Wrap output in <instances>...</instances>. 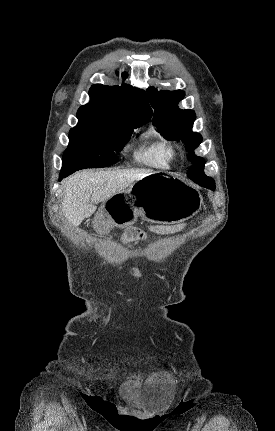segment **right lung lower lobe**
<instances>
[{
	"mask_svg": "<svg viewBox=\"0 0 275 431\" xmlns=\"http://www.w3.org/2000/svg\"><path fill=\"white\" fill-rule=\"evenodd\" d=\"M70 174H72L71 172H67V173H65V172H60V175H59V180H62L64 177H66V176H68V175H70Z\"/></svg>",
	"mask_w": 275,
	"mask_h": 431,
	"instance_id": "obj_1",
	"label": "right lung lower lobe"
}]
</instances>
